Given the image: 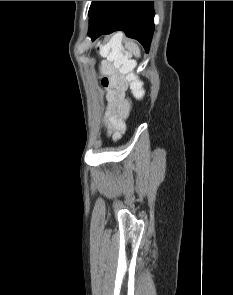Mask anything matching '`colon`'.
I'll use <instances>...</instances> for the list:
<instances>
[{"mask_svg":"<svg viewBox=\"0 0 233 295\" xmlns=\"http://www.w3.org/2000/svg\"><path fill=\"white\" fill-rule=\"evenodd\" d=\"M99 52L106 60L101 81L102 86L110 91L123 90L125 79L122 74L128 73L134 66L123 49V38L119 35L110 37L100 45ZM116 69L121 71L117 72ZM129 79L133 95L141 99L144 96L143 82L133 75Z\"/></svg>","mask_w":233,"mask_h":295,"instance_id":"5ec220e1","label":"colon"}]
</instances>
